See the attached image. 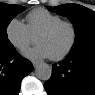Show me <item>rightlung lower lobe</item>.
I'll use <instances>...</instances> for the list:
<instances>
[{"mask_svg": "<svg viewBox=\"0 0 95 95\" xmlns=\"http://www.w3.org/2000/svg\"><path fill=\"white\" fill-rule=\"evenodd\" d=\"M32 69V63L21 57L13 46L0 49V95H18L22 79Z\"/></svg>", "mask_w": 95, "mask_h": 95, "instance_id": "obj_1", "label": "right lung lower lobe"}]
</instances>
